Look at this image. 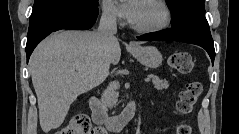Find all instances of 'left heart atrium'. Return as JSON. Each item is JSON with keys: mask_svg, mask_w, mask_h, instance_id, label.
Here are the masks:
<instances>
[{"mask_svg": "<svg viewBox=\"0 0 239 134\" xmlns=\"http://www.w3.org/2000/svg\"><path fill=\"white\" fill-rule=\"evenodd\" d=\"M140 1L128 0L119 3L120 13L128 22L134 23L139 12Z\"/></svg>", "mask_w": 239, "mask_h": 134, "instance_id": "39dd6f15", "label": "left heart atrium"}]
</instances>
